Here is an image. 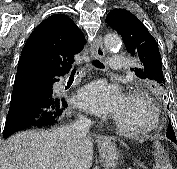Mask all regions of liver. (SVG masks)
Listing matches in <instances>:
<instances>
[{
    "instance_id": "liver-1",
    "label": "liver",
    "mask_w": 177,
    "mask_h": 169,
    "mask_svg": "<svg viewBox=\"0 0 177 169\" xmlns=\"http://www.w3.org/2000/svg\"><path fill=\"white\" fill-rule=\"evenodd\" d=\"M60 130L24 131L10 137L0 152V169H90L93 142L85 137L67 154Z\"/></svg>"
}]
</instances>
